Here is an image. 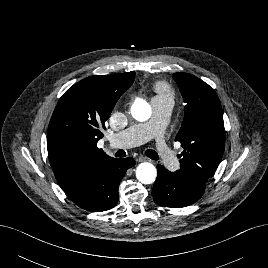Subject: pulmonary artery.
Instances as JSON below:
<instances>
[{"mask_svg": "<svg viewBox=\"0 0 268 268\" xmlns=\"http://www.w3.org/2000/svg\"><path fill=\"white\" fill-rule=\"evenodd\" d=\"M150 103L153 112L152 119L148 122L132 125L122 133L112 134L109 137L110 146L112 148H129L153 137H157L155 152L163 159L166 166L173 167L177 164L178 159L165 140L159 137L169 120L172 105L169 101L158 97L152 98Z\"/></svg>", "mask_w": 268, "mask_h": 268, "instance_id": "1", "label": "pulmonary artery"}]
</instances>
